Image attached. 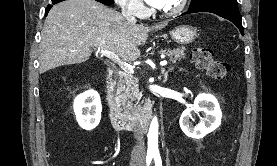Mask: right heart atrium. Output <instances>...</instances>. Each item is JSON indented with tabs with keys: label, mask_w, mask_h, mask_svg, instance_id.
Here are the masks:
<instances>
[{
	"label": "right heart atrium",
	"mask_w": 277,
	"mask_h": 166,
	"mask_svg": "<svg viewBox=\"0 0 277 166\" xmlns=\"http://www.w3.org/2000/svg\"><path fill=\"white\" fill-rule=\"evenodd\" d=\"M115 2L126 13L142 15L145 12L141 0H115Z\"/></svg>",
	"instance_id": "1"
}]
</instances>
